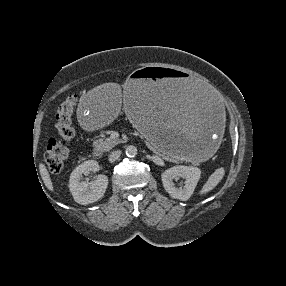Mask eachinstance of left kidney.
<instances>
[{"instance_id":"left-kidney-1","label":"left kidney","mask_w":286,"mask_h":286,"mask_svg":"<svg viewBox=\"0 0 286 286\" xmlns=\"http://www.w3.org/2000/svg\"><path fill=\"white\" fill-rule=\"evenodd\" d=\"M200 176L201 171L197 167L177 165L165 170L161 178L164 189L172 198L186 201L193 194ZM179 177L185 179L183 188H177L173 182Z\"/></svg>"}]
</instances>
